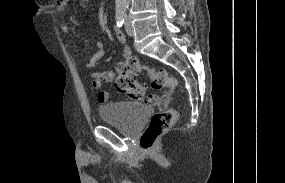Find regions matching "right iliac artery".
Masks as SVG:
<instances>
[{
    "label": "right iliac artery",
    "instance_id": "obj_1",
    "mask_svg": "<svg viewBox=\"0 0 285 183\" xmlns=\"http://www.w3.org/2000/svg\"><path fill=\"white\" fill-rule=\"evenodd\" d=\"M125 20V9H117L116 11V23L118 27H121Z\"/></svg>",
    "mask_w": 285,
    "mask_h": 183
}]
</instances>
